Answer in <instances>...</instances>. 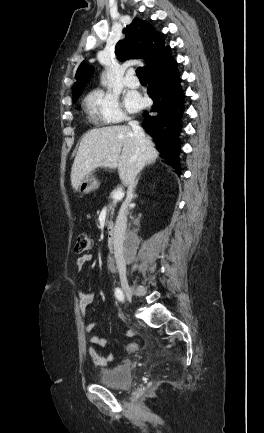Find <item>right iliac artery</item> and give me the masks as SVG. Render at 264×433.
I'll list each match as a JSON object with an SVG mask.
<instances>
[{
  "label": "right iliac artery",
  "mask_w": 264,
  "mask_h": 433,
  "mask_svg": "<svg viewBox=\"0 0 264 433\" xmlns=\"http://www.w3.org/2000/svg\"><path fill=\"white\" fill-rule=\"evenodd\" d=\"M115 296L119 301H124V294L120 288L115 289Z\"/></svg>",
  "instance_id": "obj_1"
}]
</instances>
